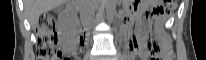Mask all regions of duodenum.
I'll use <instances>...</instances> for the list:
<instances>
[{
    "label": "duodenum",
    "instance_id": "410a0bca",
    "mask_svg": "<svg viewBox=\"0 0 206 60\" xmlns=\"http://www.w3.org/2000/svg\"><path fill=\"white\" fill-rule=\"evenodd\" d=\"M73 9H74V7H72V6H68L67 7V11H73ZM80 22V21H79Z\"/></svg>",
    "mask_w": 206,
    "mask_h": 60
}]
</instances>
